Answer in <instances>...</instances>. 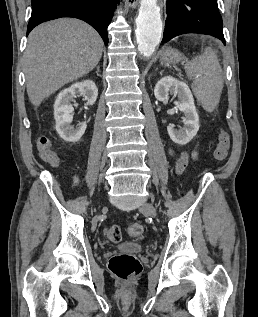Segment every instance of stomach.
I'll use <instances>...</instances> for the list:
<instances>
[{"label":"stomach","mask_w":258,"mask_h":317,"mask_svg":"<svg viewBox=\"0 0 258 317\" xmlns=\"http://www.w3.org/2000/svg\"><path fill=\"white\" fill-rule=\"evenodd\" d=\"M184 58L182 52L176 50V48H166L161 52L160 60L161 64H175Z\"/></svg>","instance_id":"0dacf381"}]
</instances>
